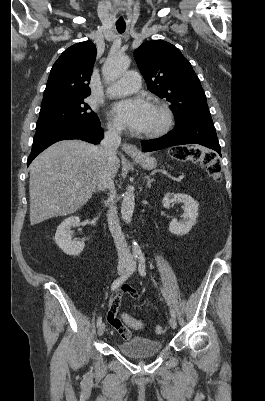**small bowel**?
<instances>
[{
    "label": "small bowel",
    "instance_id": "small-bowel-1",
    "mask_svg": "<svg viewBox=\"0 0 265 401\" xmlns=\"http://www.w3.org/2000/svg\"><path fill=\"white\" fill-rule=\"evenodd\" d=\"M123 294H128L134 298L138 297V292L135 289L127 285L122 286L120 293L117 296H115L110 303L109 311H112L114 315H117V310L120 305L121 297Z\"/></svg>",
    "mask_w": 265,
    "mask_h": 401
}]
</instances>
